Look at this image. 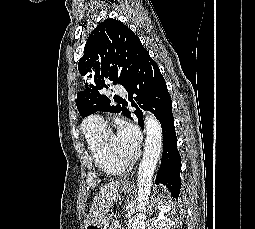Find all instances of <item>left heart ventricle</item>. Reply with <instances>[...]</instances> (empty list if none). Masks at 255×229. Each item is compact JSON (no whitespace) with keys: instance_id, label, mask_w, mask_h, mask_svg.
<instances>
[{"instance_id":"b2bd125f","label":"left heart ventricle","mask_w":255,"mask_h":229,"mask_svg":"<svg viewBox=\"0 0 255 229\" xmlns=\"http://www.w3.org/2000/svg\"><path fill=\"white\" fill-rule=\"evenodd\" d=\"M105 141L109 150L114 153L118 158L128 160L133 156L130 152H128L121 146L117 139V136L113 134H108L105 136Z\"/></svg>"}]
</instances>
